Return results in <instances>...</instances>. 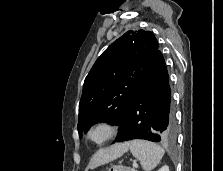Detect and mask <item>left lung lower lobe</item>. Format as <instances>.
<instances>
[{"mask_svg":"<svg viewBox=\"0 0 223 171\" xmlns=\"http://www.w3.org/2000/svg\"><path fill=\"white\" fill-rule=\"evenodd\" d=\"M119 125L116 142L132 139L154 142L175 140L176 123L169 77L164 58L159 50Z\"/></svg>","mask_w":223,"mask_h":171,"instance_id":"left-lung-lower-lobe-1","label":"left lung lower lobe"}]
</instances>
